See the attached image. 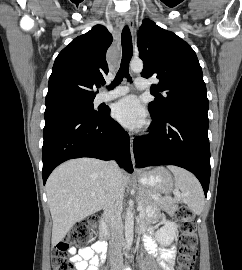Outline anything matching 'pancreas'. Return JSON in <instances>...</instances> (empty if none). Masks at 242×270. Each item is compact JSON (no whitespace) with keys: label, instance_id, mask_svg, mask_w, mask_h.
<instances>
[{"label":"pancreas","instance_id":"obj_1","mask_svg":"<svg viewBox=\"0 0 242 270\" xmlns=\"http://www.w3.org/2000/svg\"><path fill=\"white\" fill-rule=\"evenodd\" d=\"M157 193L151 191H142L137 197L138 204L142 205L143 209L150 205L159 204L161 209L166 211L169 214H173L177 210V205L174 204H164L163 202L155 199ZM170 203V202H167Z\"/></svg>","mask_w":242,"mask_h":270}]
</instances>
